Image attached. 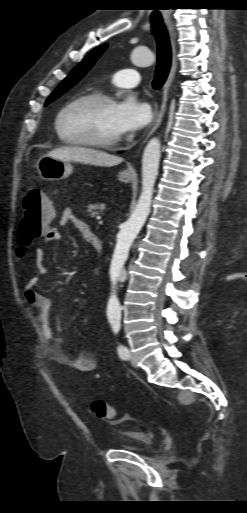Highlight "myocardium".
Segmentation results:
<instances>
[{
  "label": "myocardium",
  "instance_id": "1",
  "mask_svg": "<svg viewBox=\"0 0 247 513\" xmlns=\"http://www.w3.org/2000/svg\"><path fill=\"white\" fill-rule=\"evenodd\" d=\"M82 102L115 103V100L113 97L103 93H88L78 96L77 98L68 102L59 110L55 119V129L58 135L66 142L75 145L92 146L98 148H110L119 144L121 141V137H117L110 140H94L86 138H68L63 134L60 125L63 116L72 106Z\"/></svg>",
  "mask_w": 247,
  "mask_h": 513
}]
</instances>
